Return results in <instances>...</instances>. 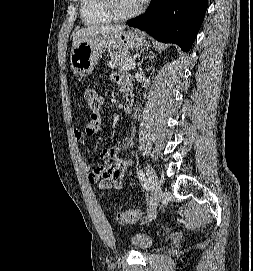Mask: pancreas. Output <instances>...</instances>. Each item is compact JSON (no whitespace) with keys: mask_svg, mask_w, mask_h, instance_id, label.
<instances>
[{"mask_svg":"<svg viewBox=\"0 0 253 271\" xmlns=\"http://www.w3.org/2000/svg\"><path fill=\"white\" fill-rule=\"evenodd\" d=\"M133 62L132 57L127 51H119L113 54L108 62V66L112 69L124 70V66L128 63Z\"/></svg>","mask_w":253,"mask_h":271,"instance_id":"pancreas-1","label":"pancreas"}]
</instances>
